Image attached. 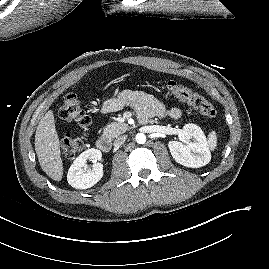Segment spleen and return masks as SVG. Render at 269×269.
Instances as JSON below:
<instances>
[{"instance_id": "spleen-1", "label": "spleen", "mask_w": 269, "mask_h": 269, "mask_svg": "<svg viewBox=\"0 0 269 269\" xmlns=\"http://www.w3.org/2000/svg\"><path fill=\"white\" fill-rule=\"evenodd\" d=\"M208 146L211 150H214L217 146V137L215 131L209 133Z\"/></svg>"}]
</instances>
